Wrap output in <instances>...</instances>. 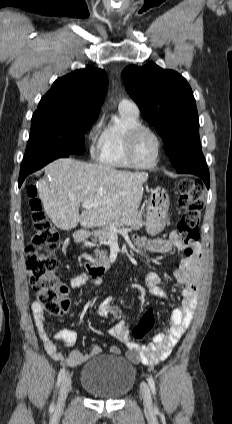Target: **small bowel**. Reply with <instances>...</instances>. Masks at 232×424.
<instances>
[{"label":"small bowel","instance_id":"obj_1","mask_svg":"<svg viewBox=\"0 0 232 424\" xmlns=\"http://www.w3.org/2000/svg\"><path fill=\"white\" fill-rule=\"evenodd\" d=\"M134 243L138 248L160 253H170L175 248H182L180 238L176 233H172L168 238H146L135 236ZM195 255L184 256L179 268L175 271L176 280L184 286L181 291V306L174 309L170 317V328L163 333L156 334L152 342L147 346H141L130 339L129 327L122 318L121 310L114 305L112 297H106L98 307V315L101 317H112L116 320L115 325L110 329L112 337L127 346V358L132 363H142L147 366H155L160 361L165 360L173 348L177 345L181 337L188 329L197 306V295L199 280L201 276V256L202 251L198 245ZM101 279L85 272L75 273L68 285L62 284L61 296L64 302L65 312L71 309L67 295L70 289H78L86 285H100ZM163 276L155 271L146 273L144 284L149 294L155 297L168 298L169 294L162 288ZM35 324L46 351L56 360L64 361L70 366L80 365L90 357L101 353L98 345H93L89 353L72 350L66 357L58 350L54 340L50 337L45 327V312L36 303L32 305ZM55 339L63 342L65 346L71 347L75 344L77 334L70 329L62 328L55 333ZM119 348L112 345L108 348L110 354H118Z\"/></svg>","mask_w":232,"mask_h":424}]
</instances>
